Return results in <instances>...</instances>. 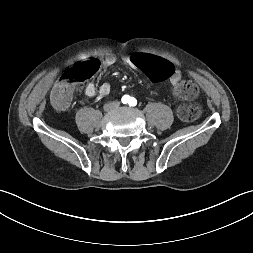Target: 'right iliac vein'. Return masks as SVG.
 I'll use <instances>...</instances> for the list:
<instances>
[{
    "mask_svg": "<svg viewBox=\"0 0 253 253\" xmlns=\"http://www.w3.org/2000/svg\"><path fill=\"white\" fill-rule=\"evenodd\" d=\"M114 108V105L113 104H109L105 107L106 110H111Z\"/></svg>",
    "mask_w": 253,
    "mask_h": 253,
    "instance_id": "63e3f726",
    "label": "right iliac vein"
}]
</instances>
